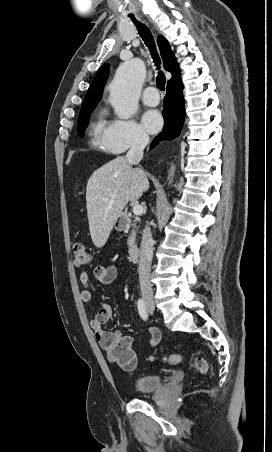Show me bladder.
<instances>
[{
    "label": "bladder",
    "instance_id": "bladder-1",
    "mask_svg": "<svg viewBox=\"0 0 272 452\" xmlns=\"http://www.w3.org/2000/svg\"><path fill=\"white\" fill-rule=\"evenodd\" d=\"M162 378L157 374H145L134 379L132 387L136 393L146 394L162 386Z\"/></svg>",
    "mask_w": 272,
    "mask_h": 452
}]
</instances>
